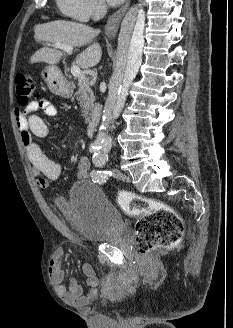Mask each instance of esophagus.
<instances>
[{
	"mask_svg": "<svg viewBox=\"0 0 233 328\" xmlns=\"http://www.w3.org/2000/svg\"><path fill=\"white\" fill-rule=\"evenodd\" d=\"M131 0H126L125 4L114 12L107 21L105 26V33L109 38H115L120 22L122 17L124 16L125 12L127 11Z\"/></svg>",
	"mask_w": 233,
	"mask_h": 328,
	"instance_id": "34e87169",
	"label": "esophagus"
}]
</instances>
